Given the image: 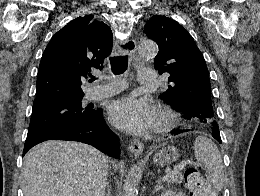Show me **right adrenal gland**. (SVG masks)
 I'll return each mask as SVG.
<instances>
[{
    "label": "right adrenal gland",
    "instance_id": "obj_1",
    "mask_svg": "<svg viewBox=\"0 0 260 196\" xmlns=\"http://www.w3.org/2000/svg\"><path fill=\"white\" fill-rule=\"evenodd\" d=\"M105 196H111V188L109 186H107V194Z\"/></svg>",
    "mask_w": 260,
    "mask_h": 196
}]
</instances>
